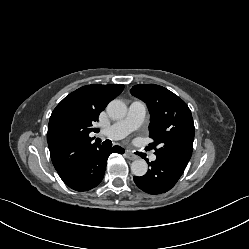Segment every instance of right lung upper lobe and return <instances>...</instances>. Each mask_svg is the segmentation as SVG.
<instances>
[{"label":"right lung upper lobe","mask_w":249,"mask_h":249,"mask_svg":"<svg viewBox=\"0 0 249 249\" xmlns=\"http://www.w3.org/2000/svg\"><path fill=\"white\" fill-rule=\"evenodd\" d=\"M124 89L122 84H92L66 96L51 114L47 142L52 163L61 179L99 145L89 137L94 122L107 104Z\"/></svg>","instance_id":"cb5924a9"}]
</instances>
